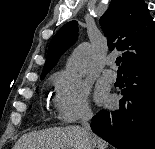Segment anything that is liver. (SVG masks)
<instances>
[{
    "mask_svg": "<svg viewBox=\"0 0 155 149\" xmlns=\"http://www.w3.org/2000/svg\"><path fill=\"white\" fill-rule=\"evenodd\" d=\"M98 149H107L108 144L93 135ZM86 131L80 126H67L33 131L24 134L13 149H90Z\"/></svg>",
    "mask_w": 155,
    "mask_h": 149,
    "instance_id": "obj_1",
    "label": "liver"
}]
</instances>
